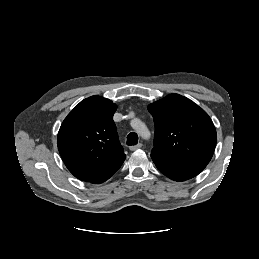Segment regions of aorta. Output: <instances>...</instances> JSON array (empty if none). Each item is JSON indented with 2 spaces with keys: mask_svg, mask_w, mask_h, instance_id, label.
Masks as SVG:
<instances>
[{
  "mask_svg": "<svg viewBox=\"0 0 259 259\" xmlns=\"http://www.w3.org/2000/svg\"><path fill=\"white\" fill-rule=\"evenodd\" d=\"M139 125L135 126L134 128L136 129V131L144 138H146L145 133H147V129L145 127L141 128V126H143L142 122L138 121Z\"/></svg>",
  "mask_w": 259,
  "mask_h": 259,
  "instance_id": "762f6f07",
  "label": "aorta"
}]
</instances>
